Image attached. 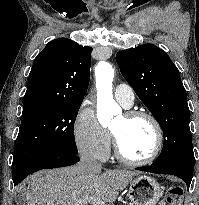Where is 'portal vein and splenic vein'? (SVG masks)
I'll use <instances>...</instances> for the list:
<instances>
[{
  "label": "portal vein and splenic vein",
  "instance_id": "18ae733b",
  "mask_svg": "<svg viewBox=\"0 0 199 205\" xmlns=\"http://www.w3.org/2000/svg\"><path fill=\"white\" fill-rule=\"evenodd\" d=\"M90 203H91L92 205H105L104 202H102L101 200H98V199H92V200L90 201Z\"/></svg>",
  "mask_w": 199,
  "mask_h": 205
}]
</instances>
